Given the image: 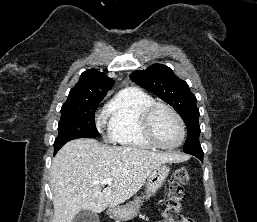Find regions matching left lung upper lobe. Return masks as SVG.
<instances>
[{
    "mask_svg": "<svg viewBox=\"0 0 257 222\" xmlns=\"http://www.w3.org/2000/svg\"><path fill=\"white\" fill-rule=\"evenodd\" d=\"M130 78L137 85L154 93L174 107L187 126V139L183 151L191 155H203L199 142L200 126L197 100L191 93L188 84L178 78L169 67L162 64H154L146 70L134 71Z\"/></svg>",
    "mask_w": 257,
    "mask_h": 222,
    "instance_id": "5c2ea615",
    "label": "left lung upper lobe"
}]
</instances>
